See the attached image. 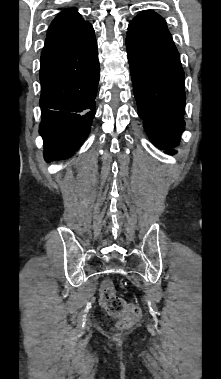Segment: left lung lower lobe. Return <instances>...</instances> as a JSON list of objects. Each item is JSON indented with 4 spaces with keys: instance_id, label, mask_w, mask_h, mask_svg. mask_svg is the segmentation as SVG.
<instances>
[{
    "instance_id": "obj_1",
    "label": "left lung lower lobe",
    "mask_w": 221,
    "mask_h": 379,
    "mask_svg": "<svg viewBox=\"0 0 221 379\" xmlns=\"http://www.w3.org/2000/svg\"><path fill=\"white\" fill-rule=\"evenodd\" d=\"M126 47L145 131L160 149L173 148L184 130L186 96L180 55L165 20L154 11L138 14L129 23Z\"/></svg>"
}]
</instances>
